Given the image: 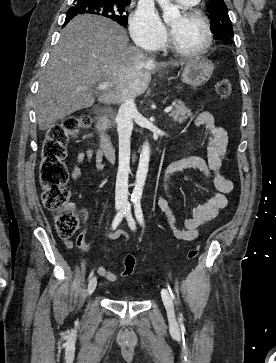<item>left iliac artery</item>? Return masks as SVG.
Masks as SVG:
<instances>
[{
	"instance_id": "44dca946",
	"label": "left iliac artery",
	"mask_w": 276,
	"mask_h": 363,
	"mask_svg": "<svg viewBox=\"0 0 276 363\" xmlns=\"http://www.w3.org/2000/svg\"><path fill=\"white\" fill-rule=\"evenodd\" d=\"M134 210H135V216H136L137 221L140 223V225H142L144 227V218H143L140 200L135 201ZM168 289H169V292H170L172 298L175 299V295H174L173 291L171 290L170 286H168ZM181 318H182V314H180V319Z\"/></svg>"
}]
</instances>
